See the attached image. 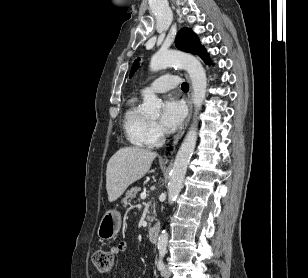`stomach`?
<instances>
[{
	"label": "stomach",
	"mask_w": 308,
	"mask_h": 278,
	"mask_svg": "<svg viewBox=\"0 0 308 278\" xmlns=\"http://www.w3.org/2000/svg\"><path fill=\"white\" fill-rule=\"evenodd\" d=\"M121 228V215L116 210L107 211L102 217L97 234L102 240L115 237Z\"/></svg>",
	"instance_id": "0dacf381"
}]
</instances>
